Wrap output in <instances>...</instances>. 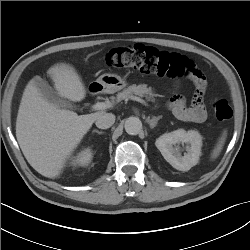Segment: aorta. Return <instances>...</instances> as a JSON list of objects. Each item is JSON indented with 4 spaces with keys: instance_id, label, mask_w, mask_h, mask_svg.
I'll return each instance as SVG.
<instances>
[{
    "instance_id": "obj_1",
    "label": "aorta",
    "mask_w": 250,
    "mask_h": 250,
    "mask_svg": "<svg viewBox=\"0 0 250 250\" xmlns=\"http://www.w3.org/2000/svg\"><path fill=\"white\" fill-rule=\"evenodd\" d=\"M125 131L130 135H137L142 129V122L137 117H129L126 119Z\"/></svg>"
}]
</instances>
